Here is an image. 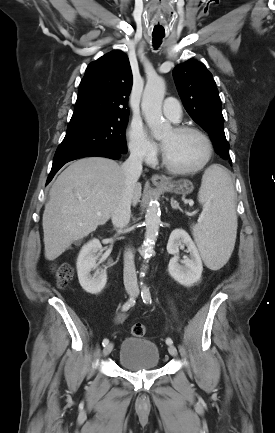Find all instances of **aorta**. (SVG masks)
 <instances>
[{
  "label": "aorta",
  "mask_w": 275,
  "mask_h": 433,
  "mask_svg": "<svg viewBox=\"0 0 275 433\" xmlns=\"http://www.w3.org/2000/svg\"><path fill=\"white\" fill-rule=\"evenodd\" d=\"M165 94V82L161 77H152L147 80L141 103L142 113L153 136L161 138L171 128L162 115V102ZM160 209L156 203H151L145 213V239L142 246V256L151 255L158 237L160 228Z\"/></svg>",
  "instance_id": "762f6f07"
}]
</instances>
